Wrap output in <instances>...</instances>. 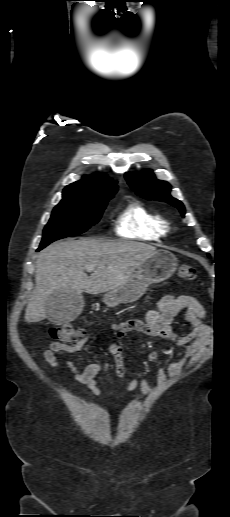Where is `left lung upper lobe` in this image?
Segmentation results:
<instances>
[{"label": "left lung upper lobe", "mask_w": 230, "mask_h": 517, "mask_svg": "<svg viewBox=\"0 0 230 517\" xmlns=\"http://www.w3.org/2000/svg\"><path fill=\"white\" fill-rule=\"evenodd\" d=\"M125 178L129 185L136 193L148 200H158L167 202L180 210L182 215L185 214V208L182 202L170 195V184L165 181L156 179L151 170H146L141 174L126 173Z\"/></svg>", "instance_id": "1"}]
</instances>
